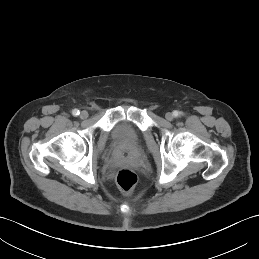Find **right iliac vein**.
Here are the masks:
<instances>
[{"mask_svg": "<svg viewBox=\"0 0 259 259\" xmlns=\"http://www.w3.org/2000/svg\"><path fill=\"white\" fill-rule=\"evenodd\" d=\"M87 117H88V112L85 111V110L81 111V113H80V118L86 119Z\"/></svg>", "mask_w": 259, "mask_h": 259, "instance_id": "obj_1", "label": "right iliac vein"}]
</instances>
